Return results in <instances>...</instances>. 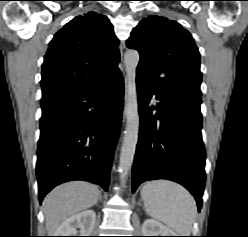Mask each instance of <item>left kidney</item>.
<instances>
[{
	"label": "left kidney",
	"mask_w": 248,
	"mask_h": 237,
	"mask_svg": "<svg viewBox=\"0 0 248 237\" xmlns=\"http://www.w3.org/2000/svg\"><path fill=\"white\" fill-rule=\"evenodd\" d=\"M142 233L143 236H177L170 228L154 219L144 221Z\"/></svg>",
	"instance_id": "5707ae66"
}]
</instances>
